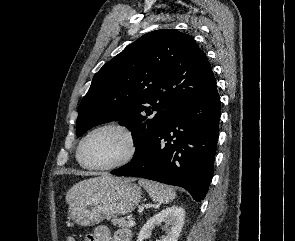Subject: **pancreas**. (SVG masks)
I'll return each instance as SVG.
<instances>
[{"label": "pancreas", "instance_id": "pancreas-1", "mask_svg": "<svg viewBox=\"0 0 295 241\" xmlns=\"http://www.w3.org/2000/svg\"><path fill=\"white\" fill-rule=\"evenodd\" d=\"M112 223L114 226H117L119 228H125V229L130 228L125 218H117L116 216H114L112 217Z\"/></svg>", "mask_w": 295, "mask_h": 241}]
</instances>
